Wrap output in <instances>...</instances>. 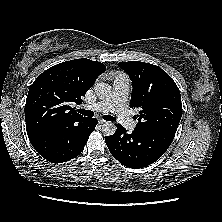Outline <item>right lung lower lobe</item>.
Segmentation results:
<instances>
[{
    "instance_id": "98d812e1",
    "label": "right lung lower lobe",
    "mask_w": 222,
    "mask_h": 222,
    "mask_svg": "<svg viewBox=\"0 0 222 222\" xmlns=\"http://www.w3.org/2000/svg\"><path fill=\"white\" fill-rule=\"evenodd\" d=\"M96 125L95 118L87 117L77 124L55 128L30 142L35 150L49 162H66L83 151Z\"/></svg>"
}]
</instances>
